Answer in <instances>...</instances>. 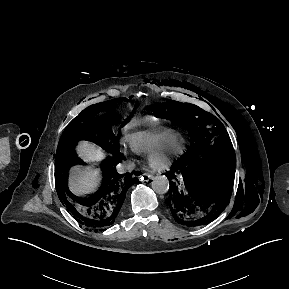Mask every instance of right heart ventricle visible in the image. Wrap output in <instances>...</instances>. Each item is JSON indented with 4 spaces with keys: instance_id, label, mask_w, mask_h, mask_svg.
Listing matches in <instances>:
<instances>
[{
    "instance_id": "e07e8e85",
    "label": "right heart ventricle",
    "mask_w": 289,
    "mask_h": 289,
    "mask_svg": "<svg viewBox=\"0 0 289 289\" xmlns=\"http://www.w3.org/2000/svg\"><path fill=\"white\" fill-rule=\"evenodd\" d=\"M178 135L173 129H150L130 134L125 142L134 153L149 155Z\"/></svg>"
}]
</instances>
